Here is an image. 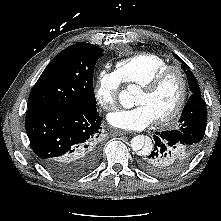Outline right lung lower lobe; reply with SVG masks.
I'll return each instance as SVG.
<instances>
[{
    "label": "right lung lower lobe",
    "instance_id": "obj_1",
    "mask_svg": "<svg viewBox=\"0 0 221 221\" xmlns=\"http://www.w3.org/2000/svg\"><path fill=\"white\" fill-rule=\"evenodd\" d=\"M26 132L41 164L62 179L87 174L98 161L101 133L97 109L28 108Z\"/></svg>",
    "mask_w": 221,
    "mask_h": 221
}]
</instances>
